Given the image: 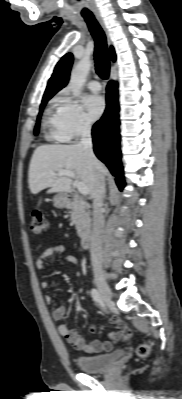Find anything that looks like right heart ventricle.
I'll return each mask as SVG.
<instances>
[{
  "instance_id": "1",
  "label": "right heart ventricle",
  "mask_w": 182,
  "mask_h": 399,
  "mask_svg": "<svg viewBox=\"0 0 182 399\" xmlns=\"http://www.w3.org/2000/svg\"><path fill=\"white\" fill-rule=\"evenodd\" d=\"M46 137L50 140L64 141V135L59 126L58 107L46 111L44 118Z\"/></svg>"
}]
</instances>
